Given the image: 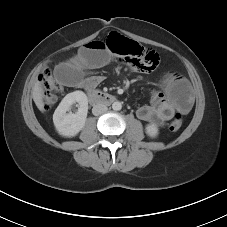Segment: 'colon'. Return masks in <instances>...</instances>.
<instances>
[{"mask_svg": "<svg viewBox=\"0 0 227 227\" xmlns=\"http://www.w3.org/2000/svg\"><path fill=\"white\" fill-rule=\"evenodd\" d=\"M107 50L120 56L126 63L132 64L139 71L150 72L159 65V55L150 50H144L138 43L125 38L117 33L109 34L104 40ZM42 90V104L45 109H50L57 100V93L62 89L53 77L50 69H45L39 76ZM183 124L181 114H177L169 125L171 131H178Z\"/></svg>", "mask_w": 227, "mask_h": 227, "instance_id": "1", "label": "colon"}]
</instances>
